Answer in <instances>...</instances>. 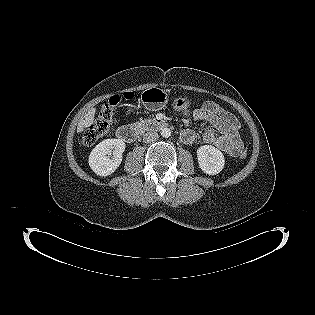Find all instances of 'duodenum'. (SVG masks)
<instances>
[{
    "mask_svg": "<svg viewBox=\"0 0 315 315\" xmlns=\"http://www.w3.org/2000/svg\"><path fill=\"white\" fill-rule=\"evenodd\" d=\"M168 125L162 121H145L136 125H125L117 129V137L127 143H132L137 140L142 132L161 130Z\"/></svg>",
    "mask_w": 315,
    "mask_h": 315,
    "instance_id": "duodenum-1",
    "label": "duodenum"
}]
</instances>
